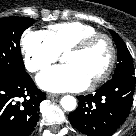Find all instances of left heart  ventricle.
I'll use <instances>...</instances> for the list:
<instances>
[{"label": "left heart ventricle", "instance_id": "obj_1", "mask_svg": "<svg viewBox=\"0 0 136 136\" xmlns=\"http://www.w3.org/2000/svg\"><path fill=\"white\" fill-rule=\"evenodd\" d=\"M109 58L110 49L107 41L99 39L81 53L67 54L65 62L78 67L91 81L103 72Z\"/></svg>", "mask_w": 136, "mask_h": 136}]
</instances>
